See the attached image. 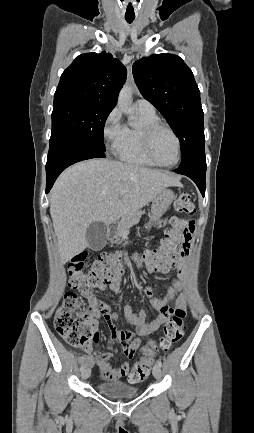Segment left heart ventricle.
<instances>
[{"label":"left heart ventricle","mask_w":254,"mask_h":433,"mask_svg":"<svg viewBox=\"0 0 254 433\" xmlns=\"http://www.w3.org/2000/svg\"><path fill=\"white\" fill-rule=\"evenodd\" d=\"M152 147L155 157L163 164H172L177 158L176 141L166 130H159L154 135Z\"/></svg>","instance_id":"b2bd125f"}]
</instances>
